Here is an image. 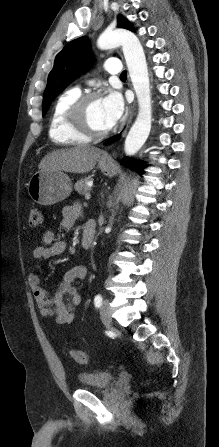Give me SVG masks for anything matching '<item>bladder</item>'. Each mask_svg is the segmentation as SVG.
<instances>
[{
	"label": "bladder",
	"mask_w": 219,
	"mask_h": 447,
	"mask_svg": "<svg viewBox=\"0 0 219 447\" xmlns=\"http://www.w3.org/2000/svg\"><path fill=\"white\" fill-rule=\"evenodd\" d=\"M114 380V374L108 371L82 372L78 382L85 389L101 390L108 388Z\"/></svg>",
	"instance_id": "1"
}]
</instances>
